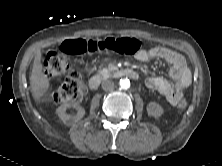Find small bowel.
<instances>
[{
  "instance_id": "small-bowel-1",
  "label": "small bowel",
  "mask_w": 222,
  "mask_h": 166,
  "mask_svg": "<svg viewBox=\"0 0 222 166\" xmlns=\"http://www.w3.org/2000/svg\"><path fill=\"white\" fill-rule=\"evenodd\" d=\"M135 57L142 62L151 59H162L170 65V75L175 81L174 84L163 77L153 76L146 80V86L164 96L171 105L176 106L183 96V90L192 81L191 71L184 57L175 51L160 46L140 50Z\"/></svg>"
}]
</instances>
